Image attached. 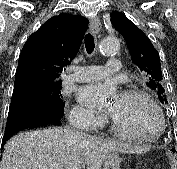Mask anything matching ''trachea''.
Here are the masks:
<instances>
[{
    "label": "trachea",
    "mask_w": 177,
    "mask_h": 169,
    "mask_svg": "<svg viewBox=\"0 0 177 169\" xmlns=\"http://www.w3.org/2000/svg\"><path fill=\"white\" fill-rule=\"evenodd\" d=\"M85 47L88 54H91L95 48L94 37L90 33L86 35Z\"/></svg>",
    "instance_id": "obj_1"
}]
</instances>
